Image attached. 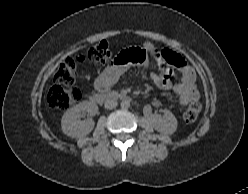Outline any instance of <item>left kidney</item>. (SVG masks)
<instances>
[{
  "instance_id": "5707ae66",
  "label": "left kidney",
  "mask_w": 248,
  "mask_h": 194,
  "mask_svg": "<svg viewBox=\"0 0 248 194\" xmlns=\"http://www.w3.org/2000/svg\"><path fill=\"white\" fill-rule=\"evenodd\" d=\"M153 127L156 131L171 135L177 129V120L170 111H165L163 116H155L153 119Z\"/></svg>"
}]
</instances>
